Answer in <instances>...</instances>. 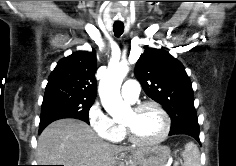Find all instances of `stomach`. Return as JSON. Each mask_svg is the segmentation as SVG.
Wrapping results in <instances>:
<instances>
[{"instance_id":"stomach-1","label":"stomach","mask_w":236,"mask_h":166,"mask_svg":"<svg viewBox=\"0 0 236 166\" xmlns=\"http://www.w3.org/2000/svg\"><path fill=\"white\" fill-rule=\"evenodd\" d=\"M170 157V149L167 146L155 145L142 149L141 157L135 166H165Z\"/></svg>"}]
</instances>
